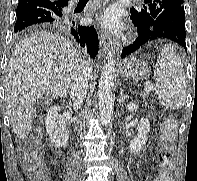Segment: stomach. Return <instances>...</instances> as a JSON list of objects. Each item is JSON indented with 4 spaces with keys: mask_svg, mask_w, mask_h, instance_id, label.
<instances>
[{
    "mask_svg": "<svg viewBox=\"0 0 197 181\" xmlns=\"http://www.w3.org/2000/svg\"><path fill=\"white\" fill-rule=\"evenodd\" d=\"M151 67L148 61L137 57H131L123 62L120 75L126 80L138 81L144 79L150 73Z\"/></svg>",
    "mask_w": 197,
    "mask_h": 181,
    "instance_id": "1",
    "label": "stomach"
}]
</instances>
